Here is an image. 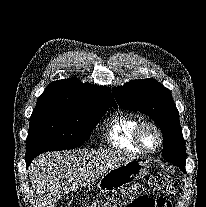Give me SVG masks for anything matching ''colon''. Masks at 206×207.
<instances>
[{
    "mask_svg": "<svg viewBox=\"0 0 206 207\" xmlns=\"http://www.w3.org/2000/svg\"><path fill=\"white\" fill-rule=\"evenodd\" d=\"M154 194L135 196L130 191H116L91 207H170L174 184L170 174L160 172L151 181Z\"/></svg>",
    "mask_w": 206,
    "mask_h": 207,
    "instance_id": "5ec220e1",
    "label": "colon"
}]
</instances>
